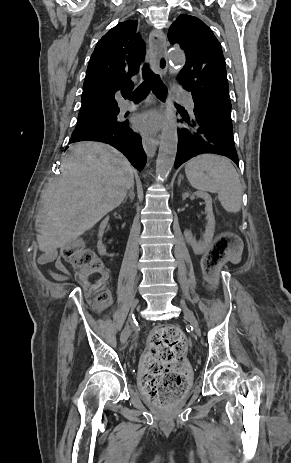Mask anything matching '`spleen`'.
Segmentation results:
<instances>
[{"label": "spleen", "mask_w": 291, "mask_h": 463, "mask_svg": "<svg viewBox=\"0 0 291 463\" xmlns=\"http://www.w3.org/2000/svg\"><path fill=\"white\" fill-rule=\"evenodd\" d=\"M185 173L192 187L217 193L222 207L227 212L240 211L243 188L230 160L212 154L200 155L187 162Z\"/></svg>", "instance_id": "3e777b00"}]
</instances>
